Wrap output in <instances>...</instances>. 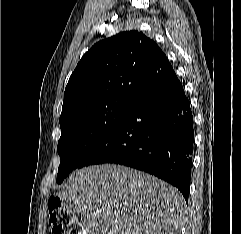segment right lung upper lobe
Wrapping results in <instances>:
<instances>
[{"mask_svg": "<svg viewBox=\"0 0 241 234\" xmlns=\"http://www.w3.org/2000/svg\"><path fill=\"white\" fill-rule=\"evenodd\" d=\"M173 68L166 55L139 31H124L96 43L79 61L64 92L60 121L84 107L134 103Z\"/></svg>", "mask_w": 241, "mask_h": 234, "instance_id": "1", "label": "right lung upper lobe"}]
</instances>
